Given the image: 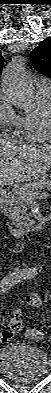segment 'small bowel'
Here are the masks:
<instances>
[{
  "label": "small bowel",
  "mask_w": 51,
  "mask_h": 393,
  "mask_svg": "<svg viewBox=\"0 0 51 393\" xmlns=\"http://www.w3.org/2000/svg\"><path fill=\"white\" fill-rule=\"evenodd\" d=\"M24 302H25V304H27L30 307L40 308L42 306L43 299L39 294H30L25 297ZM21 313H22L21 308H16L13 311L14 316H19V315H21ZM12 335H13L12 331H4L2 333V339L4 341H9L11 339Z\"/></svg>",
  "instance_id": "small-bowel-1"
}]
</instances>
